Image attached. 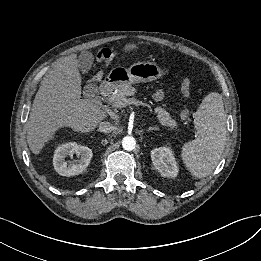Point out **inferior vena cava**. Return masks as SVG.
I'll return each mask as SVG.
<instances>
[{
	"label": "inferior vena cava",
	"instance_id": "1",
	"mask_svg": "<svg viewBox=\"0 0 261 261\" xmlns=\"http://www.w3.org/2000/svg\"><path fill=\"white\" fill-rule=\"evenodd\" d=\"M114 129H115V127L109 122L104 121V122H101L99 124V131L100 132L107 133V132L113 131Z\"/></svg>",
	"mask_w": 261,
	"mask_h": 261
}]
</instances>
